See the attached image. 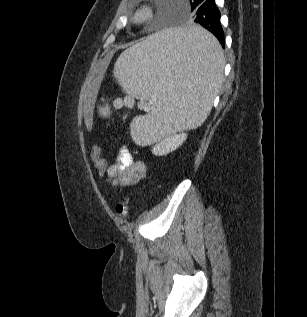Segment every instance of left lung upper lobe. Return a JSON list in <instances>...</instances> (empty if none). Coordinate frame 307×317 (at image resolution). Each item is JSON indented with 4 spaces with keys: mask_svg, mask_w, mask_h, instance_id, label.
I'll use <instances>...</instances> for the list:
<instances>
[{
    "mask_svg": "<svg viewBox=\"0 0 307 317\" xmlns=\"http://www.w3.org/2000/svg\"><path fill=\"white\" fill-rule=\"evenodd\" d=\"M190 1V4H191V8H192V11L194 10V4H195V2L197 1V0H189Z\"/></svg>",
    "mask_w": 307,
    "mask_h": 317,
    "instance_id": "obj_1",
    "label": "left lung upper lobe"
}]
</instances>
